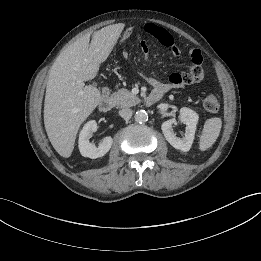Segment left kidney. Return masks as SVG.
I'll return each instance as SVG.
<instances>
[{
    "mask_svg": "<svg viewBox=\"0 0 261 261\" xmlns=\"http://www.w3.org/2000/svg\"><path fill=\"white\" fill-rule=\"evenodd\" d=\"M198 118V114L192 109L187 107L181 108L180 120L186 124L185 136L182 139L176 136L172 127L174 124H177V121L172 118L162 123L161 129L164 137L175 149L183 152L189 151L194 140Z\"/></svg>",
    "mask_w": 261,
    "mask_h": 261,
    "instance_id": "1",
    "label": "left kidney"
}]
</instances>
